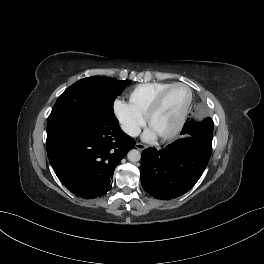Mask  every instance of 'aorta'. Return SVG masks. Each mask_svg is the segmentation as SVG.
<instances>
[{
	"instance_id": "762f6f07",
	"label": "aorta",
	"mask_w": 264,
	"mask_h": 264,
	"mask_svg": "<svg viewBox=\"0 0 264 264\" xmlns=\"http://www.w3.org/2000/svg\"><path fill=\"white\" fill-rule=\"evenodd\" d=\"M127 158L131 162H138L141 159V154L138 150L132 149L127 154Z\"/></svg>"
}]
</instances>
